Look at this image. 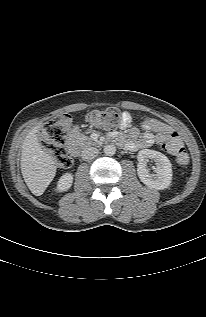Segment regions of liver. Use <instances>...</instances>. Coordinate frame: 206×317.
Wrapping results in <instances>:
<instances>
[{
  "label": "liver",
  "mask_w": 206,
  "mask_h": 317,
  "mask_svg": "<svg viewBox=\"0 0 206 317\" xmlns=\"http://www.w3.org/2000/svg\"><path fill=\"white\" fill-rule=\"evenodd\" d=\"M41 125L34 127L22 144L21 173L30 191L40 196L56 174L54 158L42 149L37 138Z\"/></svg>",
  "instance_id": "obj_1"
}]
</instances>
